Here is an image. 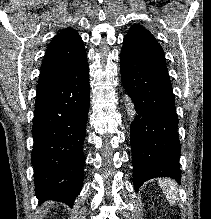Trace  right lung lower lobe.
Returning <instances> with one entry per match:
<instances>
[{"mask_svg": "<svg viewBox=\"0 0 211 219\" xmlns=\"http://www.w3.org/2000/svg\"><path fill=\"white\" fill-rule=\"evenodd\" d=\"M89 89L87 59L37 89L31 163L35 195L40 203L56 200L71 207L80 193Z\"/></svg>", "mask_w": 211, "mask_h": 219, "instance_id": "right-lung-lower-lobe-1", "label": "right lung lower lobe"}]
</instances>
